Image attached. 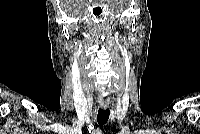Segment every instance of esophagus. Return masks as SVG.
I'll return each mask as SVG.
<instances>
[{
	"label": "esophagus",
	"instance_id": "34e87169",
	"mask_svg": "<svg viewBox=\"0 0 200 134\" xmlns=\"http://www.w3.org/2000/svg\"><path fill=\"white\" fill-rule=\"evenodd\" d=\"M100 105H101V107H102V108H104V109H105V108H107V107H108V105H109V104H108V103H106V102H102Z\"/></svg>",
	"mask_w": 200,
	"mask_h": 134
}]
</instances>
